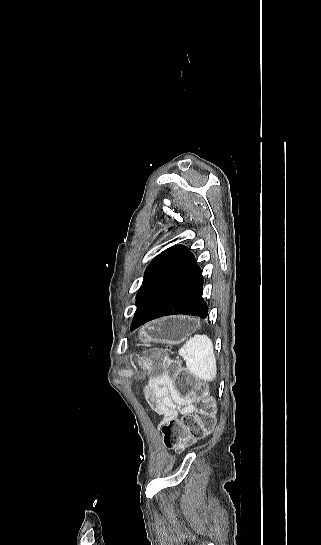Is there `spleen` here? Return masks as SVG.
Returning <instances> with one entry per match:
<instances>
[{
  "label": "spleen",
  "instance_id": "3e777b00",
  "mask_svg": "<svg viewBox=\"0 0 321 545\" xmlns=\"http://www.w3.org/2000/svg\"><path fill=\"white\" fill-rule=\"evenodd\" d=\"M186 361V367L201 381H215L217 375L213 343L207 335H194L178 351Z\"/></svg>",
  "mask_w": 321,
  "mask_h": 545
}]
</instances>
